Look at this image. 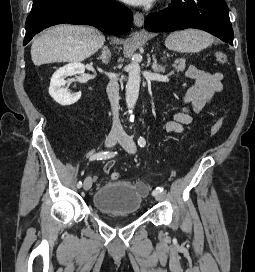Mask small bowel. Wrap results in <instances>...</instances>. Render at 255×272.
Instances as JSON below:
<instances>
[{
	"label": "small bowel",
	"instance_id": "small-bowel-1",
	"mask_svg": "<svg viewBox=\"0 0 255 272\" xmlns=\"http://www.w3.org/2000/svg\"><path fill=\"white\" fill-rule=\"evenodd\" d=\"M187 77L193 84L181 98V108L167 122L166 129L170 133H181L193 121V114L200 112L213 101L214 97L223 90V75L219 72H208L196 66H190ZM112 162L106 163L105 172H109Z\"/></svg>",
	"mask_w": 255,
	"mask_h": 272
}]
</instances>
